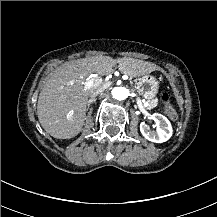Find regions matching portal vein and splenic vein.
Wrapping results in <instances>:
<instances>
[{
    "label": "portal vein and splenic vein",
    "mask_w": 217,
    "mask_h": 217,
    "mask_svg": "<svg viewBox=\"0 0 217 217\" xmlns=\"http://www.w3.org/2000/svg\"><path fill=\"white\" fill-rule=\"evenodd\" d=\"M88 86L91 87L92 86V83L90 81H88Z\"/></svg>",
    "instance_id": "portal-vein-and-splenic-vein-1"
}]
</instances>
